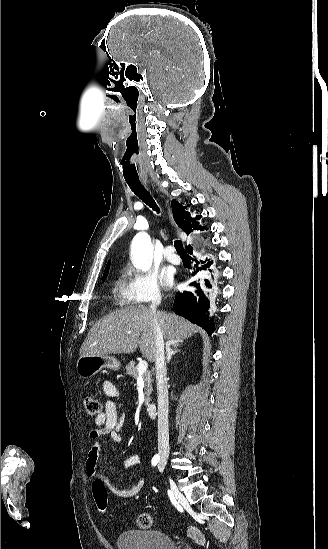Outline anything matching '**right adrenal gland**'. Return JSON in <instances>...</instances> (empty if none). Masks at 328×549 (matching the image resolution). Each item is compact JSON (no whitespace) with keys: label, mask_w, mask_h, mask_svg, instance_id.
<instances>
[{"label":"right adrenal gland","mask_w":328,"mask_h":549,"mask_svg":"<svg viewBox=\"0 0 328 549\" xmlns=\"http://www.w3.org/2000/svg\"><path fill=\"white\" fill-rule=\"evenodd\" d=\"M182 345L183 341H174V343H171V341H169V343H166V351H167V363H169L172 355H175V353H179L178 349L177 351H171L170 349V345H174V347H177V345Z\"/></svg>","instance_id":"2a0ac1e0"}]
</instances>
